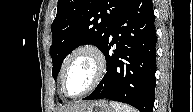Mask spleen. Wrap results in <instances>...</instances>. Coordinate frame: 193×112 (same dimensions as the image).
<instances>
[{"mask_svg":"<svg viewBox=\"0 0 193 112\" xmlns=\"http://www.w3.org/2000/svg\"><path fill=\"white\" fill-rule=\"evenodd\" d=\"M110 105L115 109L116 112H137L136 109L118 102L110 101Z\"/></svg>","mask_w":193,"mask_h":112,"instance_id":"1","label":"spleen"}]
</instances>
